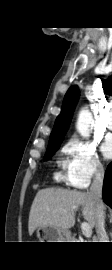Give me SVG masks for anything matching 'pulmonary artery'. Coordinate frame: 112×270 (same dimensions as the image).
<instances>
[{"instance_id":"1","label":"pulmonary artery","mask_w":112,"mask_h":270,"mask_svg":"<svg viewBox=\"0 0 112 270\" xmlns=\"http://www.w3.org/2000/svg\"><path fill=\"white\" fill-rule=\"evenodd\" d=\"M107 128H108L109 130H112V111H111L110 114H109V120H108V122H107Z\"/></svg>"}]
</instances>
